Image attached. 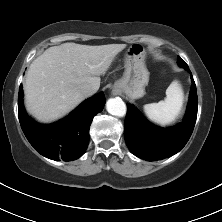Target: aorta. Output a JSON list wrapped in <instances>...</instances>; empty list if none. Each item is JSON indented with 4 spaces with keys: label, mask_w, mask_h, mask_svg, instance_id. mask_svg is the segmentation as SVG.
<instances>
[{
    "label": "aorta",
    "mask_w": 222,
    "mask_h": 222,
    "mask_svg": "<svg viewBox=\"0 0 222 222\" xmlns=\"http://www.w3.org/2000/svg\"><path fill=\"white\" fill-rule=\"evenodd\" d=\"M107 111L114 116L123 117L126 114V105L120 98H110L106 103Z\"/></svg>",
    "instance_id": "obj_1"
}]
</instances>
